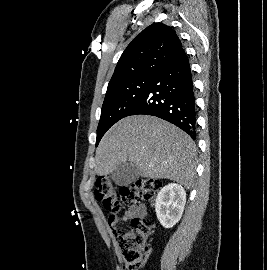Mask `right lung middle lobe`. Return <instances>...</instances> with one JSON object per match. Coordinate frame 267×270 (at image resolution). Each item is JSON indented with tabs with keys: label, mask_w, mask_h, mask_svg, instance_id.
<instances>
[{
	"label": "right lung middle lobe",
	"mask_w": 267,
	"mask_h": 270,
	"mask_svg": "<svg viewBox=\"0 0 267 270\" xmlns=\"http://www.w3.org/2000/svg\"><path fill=\"white\" fill-rule=\"evenodd\" d=\"M154 75H144L107 89L97 128L96 146L105 132L127 116L150 86Z\"/></svg>",
	"instance_id": "1"
}]
</instances>
